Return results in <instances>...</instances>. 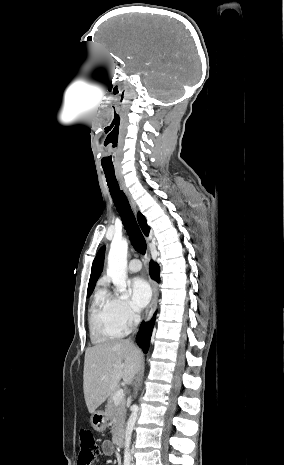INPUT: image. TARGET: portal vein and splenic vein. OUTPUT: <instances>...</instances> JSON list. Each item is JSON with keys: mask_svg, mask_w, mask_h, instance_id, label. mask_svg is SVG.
Wrapping results in <instances>:
<instances>
[{"mask_svg": "<svg viewBox=\"0 0 284 465\" xmlns=\"http://www.w3.org/2000/svg\"><path fill=\"white\" fill-rule=\"evenodd\" d=\"M123 399H124V391L123 389H119V391H117V393H115L113 397L115 407H118V405L122 403Z\"/></svg>", "mask_w": 284, "mask_h": 465, "instance_id": "obj_1", "label": "portal vein and splenic vein"}]
</instances>
